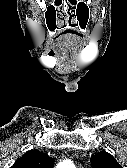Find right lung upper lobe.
Listing matches in <instances>:
<instances>
[{
	"label": "right lung upper lobe",
	"instance_id": "right-lung-upper-lobe-1",
	"mask_svg": "<svg viewBox=\"0 0 127 168\" xmlns=\"http://www.w3.org/2000/svg\"><path fill=\"white\" fill-rule=\"evenodd\" d=\"M54 159L38 150H30L16 160L11 168H52Z\"/></svg>",
	"mask_w": 127,
	"mask_h": 168
}]
</instances>
